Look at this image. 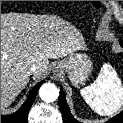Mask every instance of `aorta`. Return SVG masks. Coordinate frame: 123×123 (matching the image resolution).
<instances>
[{
  "label": "aorta",
  "mask_w": 123,
  "mask_h": 123,
  "mask_svg": "<svg viewBox=\"0 0 123 123\" xmlns=\"http://www.w3.org/2000/svg\"><path fill=\"white\" fill-rule=\"evenodd\" d=\"M39 95L43 101L49 103L55 101L58 98L59 91L54 84L45 83L41 86Z\"/></svg>",
  "instance_id": "aorta-1"
}]
</instances>
